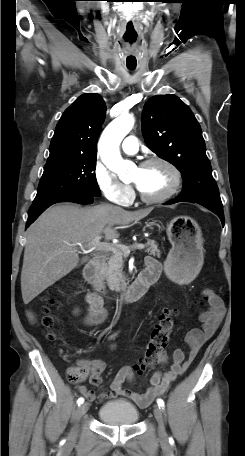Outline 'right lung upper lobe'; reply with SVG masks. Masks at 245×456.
<instances>
[{"label":"right lung upper lobe","mask_w":245,"mask_h":456,"mask_svg":"<svg viewBox=\"0 0 245 456\" xmlns=\"http://www.w3.org/2000/svg\"><path fill=\"white\" fill-rule=\"evenodd\" d=\"M106 106L98 94L77 98L59 120L50 143L47 163L82 156H97V140Z\"/></svg>","instance_id":"right-lung-upper-lobe-1"}]
</instances>
